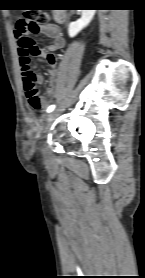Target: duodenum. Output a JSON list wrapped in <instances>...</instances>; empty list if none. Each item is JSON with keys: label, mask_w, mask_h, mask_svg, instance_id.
<instances>
[{"label": "duodenum", "mask_w": 145, "mask_h": 278, "mask_svg": "<svg viewBox=\"0 0 145 278\" xmlns=\"http://www.w3.org/2000/svg\"><path fill=\"white\" fill-rule=\"evenodd\" d=\"M54 20L57 22V23H62L64 22L65 20V14L63 12H59L57 14H55L54 16ZM54 89L52 90H49L47 93L48 94H51L53 92Z\"/></svg>", "instance_id": "410a0bca"}]
</instances>
